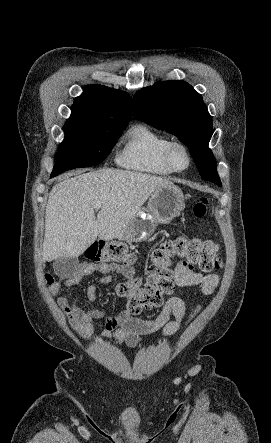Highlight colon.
Wrapping results in <instances>:
<instances>
[{
    "label": "colon",
    "mask_w": 271,
    "mask_h": 443,
    "mask_svg": "<svg viewBox=\"0 0 271 443\" xmlns=\"http://www.w3.org/2000/svg\"><path fill=\"white\" fill-rule=\"evenodd\" d=\"M207 212L206 198L193 207V213L198 218L205 217ZM86 255L94 262L119 263L130 268L136 263L135 253L123 243L98 240L88 248ZM149 258L145 283L133 276L117 286V293L126 300L127 309L131 314L162 305L164 295L173 289L171 264L175 258L184 259L205 272L220 269L223 265L216 242L185 235L162 240L151 250ZM46 279L50 285L53 284L51 275H46Z\"/></svg>",
    "instance_id": "5ec220e1"
}]
</instances>
